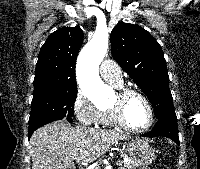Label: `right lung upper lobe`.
<instances>
[{
	"mask_svg": "<svg viewBox=\"0 0 200 169\" xmlns=\"http://www.w3.org/2000/svg\"><path fill=\"white\" fill-rule=\"evenodd\" d=\"M83 32L79 26L53 32L41 47L36 64L34 90L76 84L75 64Z\"/></svg>",
	"mask_w": 200,
	"mask_h": 169,
	"instance_id": "right-lung-upper-lobe-1",
	"label": "right lung upper lobe"
}]
</instances>
